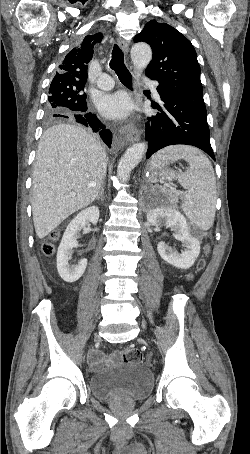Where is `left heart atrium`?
I'll use <instances>...</instances> for the list:
<instances>
[{"instance_id": "39dd6f15", "label": "left heart atrium", "mask_w": 250, "mask_h": 454, "mask_svg": "<svg viewBox=\"0 0 250 454\" xmlns=\"http://www.w3.org/2000/svg\"><path fill=\"white\" fill-rule=\"evenodd\" d=\"M100 113L110 119L125 118L131 111V104L123 93L103 95L98 101Z\"/></svg>"}]
</instances>
